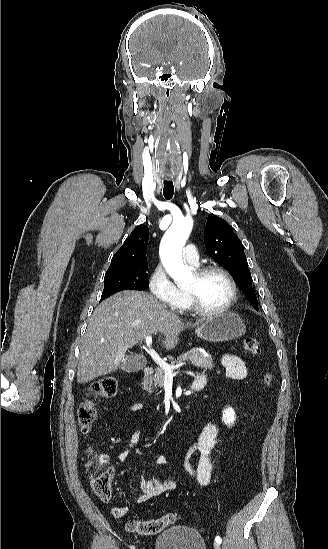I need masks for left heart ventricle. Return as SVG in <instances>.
<instances>
[{"label": "left heart ventricle", "mask_w": 328, "mask_h": 549, "mask_svg": "<svg viewBox=\"0 0 328 549\" xmlns=\"http://www.w3.org/2000/svg\"><path fill=\"white\" fill-rule=\"evenodd\" d=\"M184 288L190 289L201 302V307L215 309L224 305L231 294V288L226 277L213 270L200 278L191 274Z\"/></svg>", "instance_id": "b2bd125f"}]
</instances>
